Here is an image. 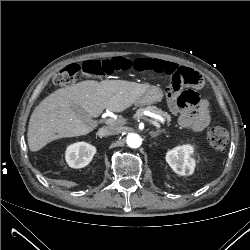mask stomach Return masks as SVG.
<instances>
[{
	"label": "stomach",
	"mask_w": 250,
	"mask_h": 250,
	"mask_svg": "<svg viewBox=\"0 0 250 250\" xmlns=\"http://www.w3.org/2000/svg\"><path fill=\"white\" fill-rule=\"evenodd\" d=\"M163 91L158 87L149 88L136 102L138 106L160 102L163 99Z\"/></svg>",
	"instance_id": "obj_1"
}]
</instances>
